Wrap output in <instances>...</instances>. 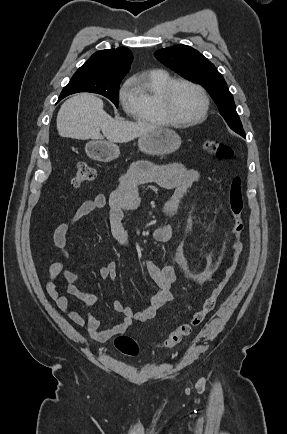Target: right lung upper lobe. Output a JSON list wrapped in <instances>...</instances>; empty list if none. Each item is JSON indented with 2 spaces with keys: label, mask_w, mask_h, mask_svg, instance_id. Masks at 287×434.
<instances>
[{
  "label": "right lung upper lobe",
  "mask_w": 287,
  "mask_h": 434,
  "mask_svg": "<svg viewBox=\"0 0 287 434\" xmlns=\"http://www.w3.org/2000/svg\"><path fill=\"white\" fill-rule=\"evenodd\" d=\"M132 53L126 47L100 50L94 53L75 74L107 79H123L130 70Z\"/></svg>",
  "instance_id": "1"
}]
</instances>
